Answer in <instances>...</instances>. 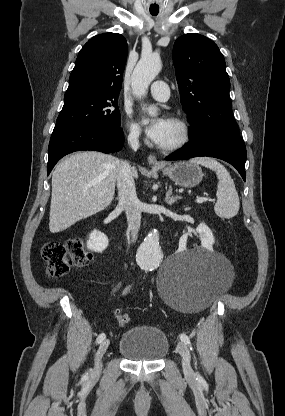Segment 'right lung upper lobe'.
Returning <instances> with one entry per match:
<instances>
[{
    "label": "right lung upper lobe",
    "mask_w": 285,
    "mask_h": 416,
    "mask_svg": "<svg viewBox=\"0 0 285 416\" xmlns=\"http://www.w3.org/2000/svg\"><path fill=\"white\" fill-rule=\"evenodd\" d=\"M126 39L116 33L96 35L80 50L65 95L118 96L127 59Z\"/></svg>",
    "instance_id": "1"
}]
</instances>
